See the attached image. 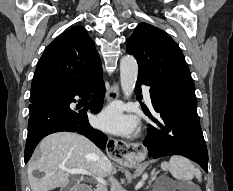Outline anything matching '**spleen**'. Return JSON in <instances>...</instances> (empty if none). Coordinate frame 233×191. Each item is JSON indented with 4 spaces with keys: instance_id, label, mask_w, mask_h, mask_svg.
<instances>
[{
    "instance_id": "1",
    "label": "spleen",
    "mask_w": 233,
    "mask_h": 191,
    "mask_svg": "<svg viewBox=\"0 0 233 191\" xmlns=\"http://www.w3.org/2000/svg\"><path fill=\"white\" fill-rule=\"evenodd\" d=\"M163 170L169 171L177 180L190 181L195 176L199 181L201 180V172L196 169L194 165L183 156H172L169 162L161 164Z\"/></svg>"
}]
</instances>
